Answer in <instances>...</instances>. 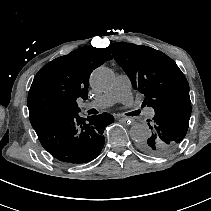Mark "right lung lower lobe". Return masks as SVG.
Instances as JSON below:
<instances>
[{
    "mask_svg": "<svg viewBox=\"0 0 211 211\" xmlns=\"http://www.w3.org/2000/svg\"><path fill=\"white\" fill-rule=\"evenodd\" d=\"M78 113L34 128L43 148L55 159L70 165L94 160L104 146V128L114 121L108 113L88 118Z\"/></svg>",
    "mask_w": 211,
    "mask_h": 211,
    "instance_id": "1",
    "label": "right lung lower lobe"
}]
</instances>
